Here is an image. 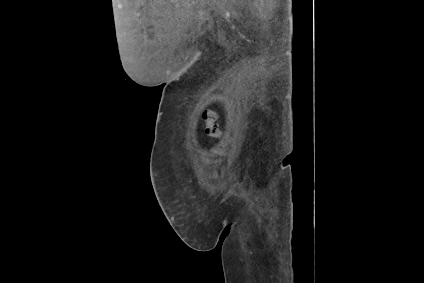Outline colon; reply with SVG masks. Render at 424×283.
<instances>
[{
  "label": "colon",
  "mask_w": 424,
  "mask_h": 283,
  "mask_svg": "<svg viewBox=\"0 0 424 283\" xmlns=\"http://www.w3.org/2000/svg\"><path fill=\"white\" fill-rule=\"evenodd\" d=\"M217 114L214 110H206L203 113V121L206 124L205 132L212 138H220L222 136V130L216 123Z\"/></svg>",
  "instance_id": "5ec220e1"
}]
</instances>
